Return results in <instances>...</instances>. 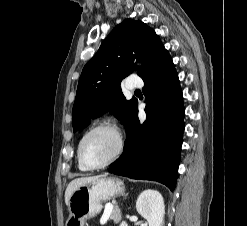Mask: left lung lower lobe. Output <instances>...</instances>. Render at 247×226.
<instances>
[{"instance_id":"1","label":"left lung lower lobe","mask_w":247,"mask_h":226,"mask_svg":"<svg viewBox=\"0 0 247 226\" xmlns=\"http://www.w3.org/2000/svg\"><path fill=\"white\" fill-rule=\"evenodd\" d=\"M145 82L146 120L140 124L138 103L126 127L125 149L117 163L109 168L115 175L132 179L153 180L175 188L182 135L184 106L177 72L168 51L163 47Z\"/></svg>"}]
</instances>
